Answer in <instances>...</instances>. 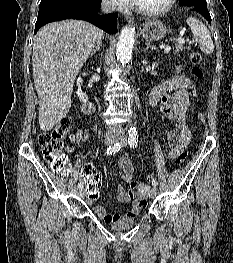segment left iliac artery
Masks as SVG:
<instances>
[{"label": "left iliac artery", "mask_w": 233, "mask_h": 263, "mask_svg": "<svg viewBox=\"0 0 233 263\" xmlns=\"http://www.w3.org/2000/svg\"><path fill=\"white\" fill-rule=\"evenodd\" d=\"M128 143H129L131 148H136L137 147L138 135H137V131L135 129H131L129 131ZM152 185L155 186V187L158 185V182H157L156 179L152 180Z\"/></svg>", "instance_id": "1"}]
</instances>
